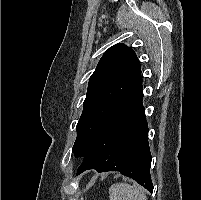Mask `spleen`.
<instances>
[{
  "label": "spleen",
  "mask_w": 201,
  "mask_h": 200,
  "mask_svg": "<svg viewBox=\"0 0 201 200\" xmlns=\"http://www.w3.org/2000/svg\"><path fill=\"white\" fill-rule=\"evenodd\" d=\"M110 200H147L142 189L127 183H115L109 188Z\"/></svg>",
  "instance_id": "1"
}]
</instances>
